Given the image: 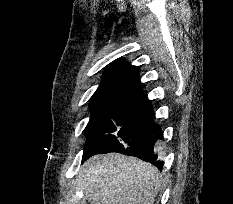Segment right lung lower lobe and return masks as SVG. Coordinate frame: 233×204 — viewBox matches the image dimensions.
I'll return each mask as SVG.
<instances>
[{
    "mask_svg": "<svg viewBox=\"0 0 233 204\" xmlns=\"http://www.w3.org/2000/svg\"><path fill=\"white\" fill-rule=\"evenodd\" d=\"M157 139H162V133L158 136L150 137L142 142H138L136 144H133L129 147H126L124 149H120L117 151H108L100 147L96 148V147H91V146L86 145L84 149L82 162H84L86 159H88L92 155H95L98 153L102 154V153H108V152H119L125 155L135 156L144 161L150 162L161 170L163 166V162L159 159L158 154L155 149V143Z\"/></svg>",
    "mask_w": 233,
    "mask_h": 204,
    "instance_id": "98d812e1",
    "label": "right lung lower lobe"
}]
</instances>
